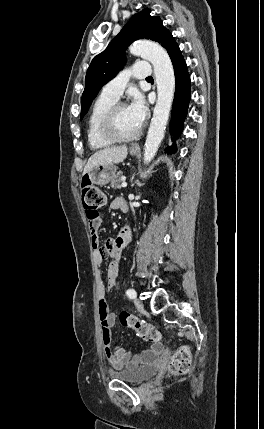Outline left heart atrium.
Wrapping results in <instances>:
<instances>
[{
    "label": "left heart atrium",
    "mask_w": 264,
    "mask_h": 429,
    "mask_svg": "<svg viewBox=\"0 0 264 429\" xmlns=\"http://www.w3.org/2000/svg\"><path fill=\"white\" fill-rule=\"evenodd\" d=\"M128 109L136 122L142 125L147 115V106L144 98L139 94L134 95Z\"/></svg>",
    "instance_id": "obj_1"
}]
</instances>
